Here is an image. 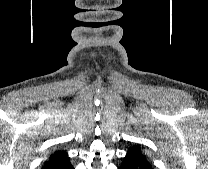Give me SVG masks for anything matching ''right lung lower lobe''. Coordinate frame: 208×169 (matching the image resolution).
Instances as JSON below:
<instances>
[{
	"label": "right lung lower lobe",
	"mask_w": 208,
	"mask_h": 169,
	"mask_svg": "<svg viewBox=\"0 0 208 169\" xmlns=\"http://www.w3.org/2000/svg\"><path fill=\"white\" fill-rule=\"evenodd\" d=\"M47 169H74L72 166L70 159H64L58 163L53 164L52 166L48 167Z\"/></svg>",
	"instance_id": "1"
}]
</instances>
